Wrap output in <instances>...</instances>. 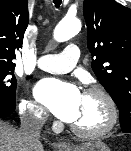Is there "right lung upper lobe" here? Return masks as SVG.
Returning <instances> with one entry per match:
<instances>
[{
    "instance_id": "right-lung-upper-lobe-1",
    "label": "right lung upper lobe",
    "mask_w": 131,
    "mask_h": 151,
    "mask_svg": "<svg viewBox=\"0 0 131 151\" xmlns=\"http://www.w3.org/2000/svg\"><path fill=\"white\" fill-rule=\"evenodd\" d=\"M28 19L27 0H0V66H15Z\"/></svg>"
}]
</instances>
